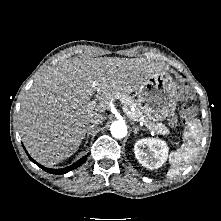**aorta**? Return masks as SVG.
<instances>
[{"label": "aorta", "mask_w": 221, "mask_h": 221, "mask_svg": "<svg viewBox=\"0 0 221 221\" xmlns=\"http://www.w3.org/2000/svg\"><path fill=\"white\" fill-rule=\"evenodd\" d=\"M110 131L115 138H124L127 135V126L122 121H114L110 126Z\"/></svg>", "instance_id": "obj_1"}]
</instances>
